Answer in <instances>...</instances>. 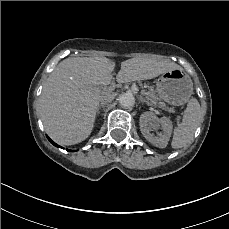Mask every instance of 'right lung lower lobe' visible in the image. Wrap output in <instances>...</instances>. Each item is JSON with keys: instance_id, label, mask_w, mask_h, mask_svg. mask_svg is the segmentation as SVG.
I'll use <instances>...</instances> for the list:
<instances>
[{"instance_id": "right-lung-lower-lobe-1", "label": "right lung lower lobe", "mask_w": 229, "mask_h": 229, "mask_svg": "<svg viewBox=\"0 0 229 229\" xmlns=\"http://www.w3.org/2000/svg\"><path fill=\"white\" fill-rule=\"evenodd\" d=\"M47 138L49 139V141L54 145V146H56V147H60V148H62L61 146H59V145H57L55 142H53L48 136H47ZM64 149V148H63ZM68 150V149H67ZM68 151H74V150H68Z\"/></svg>"}]
</instances>
